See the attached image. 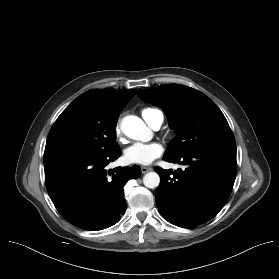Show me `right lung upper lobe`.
<instances>
[{
    "instance_id": "cb5924a9",
    "label": "right lung upper lobe",
    "mask_w": 279,
    "mask_h": 279,
    "mask_svg": "<svg viewBox=\"0 0 279 279\" xmlns=\"http://www.w3.org/2000/svg\"><path fill=\"white\" fill-rule=\"evenodd\" d=\"M135 92L133 89L123 91L93 89L80 96L98 111L119 113L135 95Z\"/></svg>"
}]
</instances>
